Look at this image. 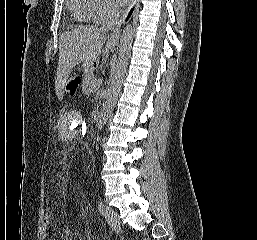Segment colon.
<instances>
[{
    "instance_id": "5ec220e1",
    "label": "colon",
    "mask_w": 257,
    "mask_h": 240,
    "mask_svg": "<svg viewBox=\"0 0 257 240\" xmlns=\"http://www.w3.org/2000/svg\"><path fill=\"white\" fill-rule=\"evenodd\" d=\"M79 86H80V77L77 74H73L67 80L66 91L73 96L77 94ZM49 226H50V213L48 211H45V213L42 216V222H41V229L44 235H47Z\"/></svg>"
}]
</instances>
